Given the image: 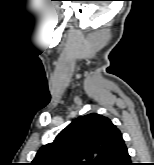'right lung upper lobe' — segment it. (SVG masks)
<instances>
[{
    "instance_id": "obj_1",
    "label": "right lung upper lobe",
    "mask_w": 154,
    "mask_h": 165,
    "mask_svg": "<svg viewBox=\"0 0 154 165\" xmlns=\"http://www.w3.org/2000/svg\"><path fill=\"white\" fill-rule=\"evenodd\" d=\"M121 132L102 115L80 116L53 143L40 148L31 165H100Z\"/></svg>"
}]
</instances>
